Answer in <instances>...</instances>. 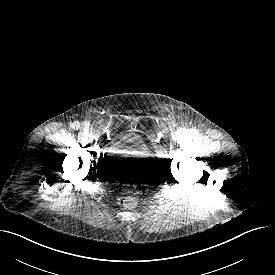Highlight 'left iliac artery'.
<instances>
[{
    "mask_svg": "<svg viewBox=\"0 0 275 275\" xmlns=\"http://www.w3.org/2000/svg\"><path fill=\"white\" fill-rule=\"evenodd\" d=\"M189 133L191 137H197L198 135V132L196 130H191Z\"/></svg>",
    "mask_w": 275,
    "mask_h": 275,
    "instance_id": "left-iliac-artery-1",
    "label": "left iliac artery"
}]
</instances>
